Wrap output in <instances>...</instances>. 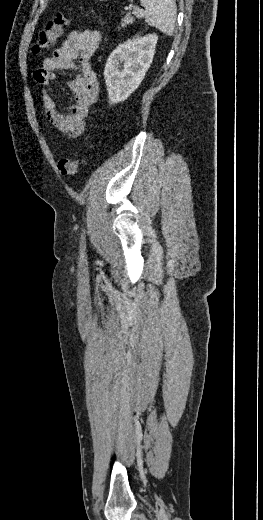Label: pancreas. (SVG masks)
Instances as JSON below:
<instances>
[{"label":"pancreas","mask_w":263,"mask_h":520,"mask_svg":"<svg viewBox=\"0 0 263 520\" xmlns=\"http://www.w3.org/2000/svg\"><path fill=\"white\" fill-rule=\"evenodd\" d=\"M134 14L137 19H141L143 17V12L139 9H134L133 11H129L125 17L121 20V27H126L129 24H132L135 21V18L131 15ZM120 29V27H118Z\"/></svg>","instance_id":"pancreas-1"}]
</instances>
